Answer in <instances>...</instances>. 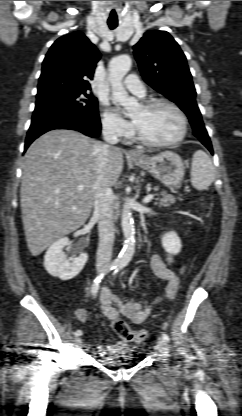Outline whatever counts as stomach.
Masks as SVG:
<instances>
[{"label": "stomach", "mask_w": 242, "mask_h": 416, "mask_svg": "<svg viewBox=\"0 0 242 416\" xmlns=\"http://www.w3.org/2000/svg\"><path fill=\"white\" fill-rule=\"evenodd\" d=\"M130 161L150 172L157 180L170 189L179 187L184 178L185 168L183 161L178 154L172 151H164L152 157L143 156L140 160L131 159Z\"/></svg>", "instance_id": "1"}]
</instances>
